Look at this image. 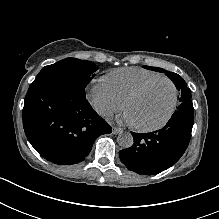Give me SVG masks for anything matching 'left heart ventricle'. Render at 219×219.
I'll return each mask as SVG.
<instances>
[{"label": "left heart ventricle", "instance_id": "obj_1", "mask_svg": "<svg viewBox=\"0 0 219 219\" xmlns=\"http://www.w3.org/2000/svg\"><path fill=\"white\" fill-rule=\"evenodd\" d=\"M172 98L171 85L165 81L158 82L132 100L127 111L132 115L135 125L152 126L162 121Z\"/></svg>", "mask_w": 219, "mask_h": 219}]
</instances>
